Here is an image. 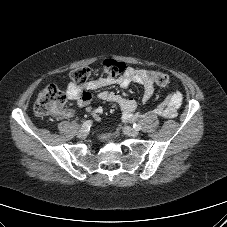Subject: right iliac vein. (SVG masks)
<instances>
[{"mask_svg": "<svg viewBox=\"0 0 227 227\" xmlns=\"http://www.w3.org/2000/svg\"><path fill=\"white\" fill-rule=\"evenodd\" d=\"M87 136V130L86 129H80L78 132V137L81 139H84Z\"/></svg>", "mask_w": 227, "mask_h": 227, "instance_id": "63e3f726", "label": "right iliac vein"}]
</instances>
